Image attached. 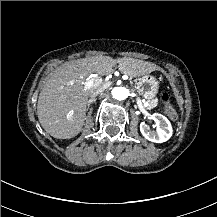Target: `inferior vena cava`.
<instances>
[{"mask_svg":"<svg viewBox=\"0 0 217 217\" xmlns=\"http://www.w3.org/2000/svg\"><path fill=\"white\" fill-rule=\"evenodd\" d=\"M105 89H106V86H104L103 84H99L97 86L92 87L89 90V94L92 98H94L95 96H97L99 93H101Z\"/></svg>","mask_w":217,"mask_h":217,"instance_id":"inferior-vena-cava-1","label":"inferior vena cava"}]
</instances>
